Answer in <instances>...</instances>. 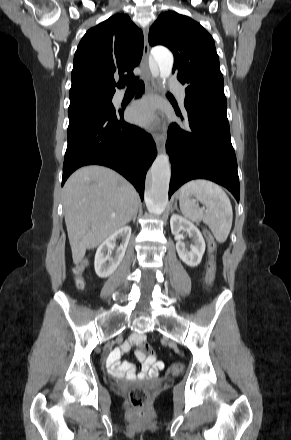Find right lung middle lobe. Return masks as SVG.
<instances>
[{
  "label": "right lung middle lobe",
  "mask_w": 291,
  "mask_h": 440,
  "mask_svg": "<svg viewBox=\"0 0 291 440\" xmlns=\"http://www.w3.org/2000/svg\"><path fill=\"white\" fill-rule=\"evenodd\" d=\"M112 97L113 96H88L75 101H70V106L80 103H87L101 105L107 109H114Z\"/></svg>",
  "instance_id": "1"
}]
</instances>
